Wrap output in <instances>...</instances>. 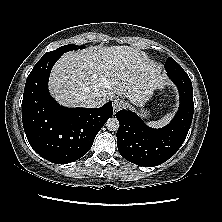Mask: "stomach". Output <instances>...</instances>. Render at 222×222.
I'll return each instance as SVG.
<instances>
[{"instance_id": "obj_1", "label": "stomach", "mask_w": 222, "mask_h": 222, "mask_svg": "<svg viewBox=\"0 0 222 222\" xmlns=\"http://www.w3.org/2000/svg\"><path fill=\"white\" fill-rule=\"evenodd\" d=\"M140 115H141L143 118H149V112H148L147 110L143 109L142 107H141V109H140Z\"/></svg>"}]
</instances>
